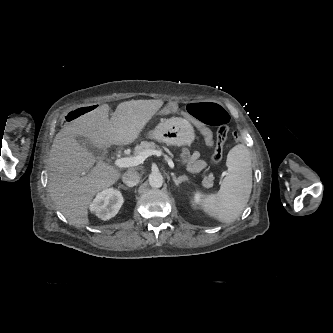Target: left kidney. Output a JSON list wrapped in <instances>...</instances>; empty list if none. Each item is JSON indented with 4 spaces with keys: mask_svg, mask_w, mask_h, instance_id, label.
<instances>
[{
    "mask_svg": "<svg viewBox=\"0 0 333 333\" xmlns=\"http://www.w3.org/2000/svg\"><path fill=\"white\" fill-rule=\"evenodd\" d=\"M200 194L199 193H196L195 194V198H199Z\"/></svg>",
    "mask_w": 333,
    "mask_h": 333,
    "instance_id": "obj_1",
    "label": "left kidney"
}]
</instances>
